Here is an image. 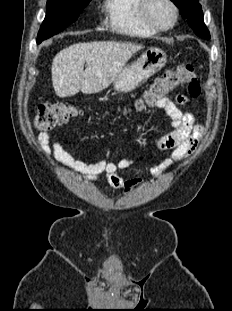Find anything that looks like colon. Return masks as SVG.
I'll return each instance as SVG.
<instances>
[{"label":"colon","mask_w":232,"mask_h":311,"mask_svg":"<svg viewBox=\"0 0 232 311\" xmlns=\"http://www.w3.org/2000/svg\"><path fill=\"white\" fill-rule=\"evenodd\" d=\"M181 86L184 87L189 97L195 98L199 95L200 85L193 65L183 64L175 69L166 70L145 91L134 107L136 110L151 107ZM76 113V109L68 104L46 103L39 107L34 116L33 127L40 131H46L67 122Z\"/></svg>","instance_id":"1"}]
</instances>
